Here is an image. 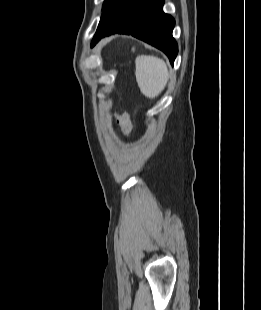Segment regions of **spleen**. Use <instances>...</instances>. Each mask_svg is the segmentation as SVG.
Instances as JSON below:
<instances>
[{"label": "spleen", "mask_w": 261, "mask_h": 310, "mask_svg": "<svg viewBox=\"0 0 261 310\" xmlns=\"http://www.w3.org/2000/svg\"><path fill=\"white\" fill-rule=\"evenodd\" d=\"M135 63L140 91L148 98L157 97L168 83L169 75L165 62L153 56H140Z\"/></svg>", "instance_id": "1"}]
</instances>
